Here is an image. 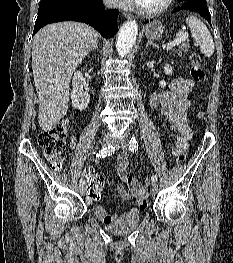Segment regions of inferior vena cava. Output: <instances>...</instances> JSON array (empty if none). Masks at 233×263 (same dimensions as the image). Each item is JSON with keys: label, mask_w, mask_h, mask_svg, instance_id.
Returning <instances> with one entry per match:
<instances>
[{"label": "inferior vena cava", "mask_w": 233, "mask_h": 263, "mask_svg": "<svg viewBox=\"0 0 233 263\" xmlns=\"http://www.w3.org/2000/svg\"><path fill=\"white\" fill-rule=\"evenodd\" d=\"M104 4L107 8H113L116 5V0H104Z\"/></svg>", "instance_id": "inferior-vena-cava-1"}]
</instances>
